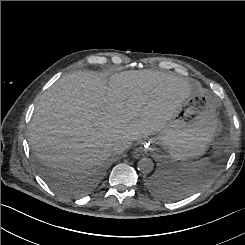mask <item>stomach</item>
<instances>
[{
	"label": "stomach",
	"mask_w": 245,
	"mask_h": 245,
	"mask_svg": "<svg viewBox=\"0 0 245 245\" xmlns=\"http://www.w3.org/2000/svg\"><path fill=\"white\" fill-rule=\"evenodd\" d=\"M220 126L216 100L193 89L154 141L171 159L190 162L214 144Z\"/></svg>",
	"instance_id": "0dacf381"
}]
</instances>
